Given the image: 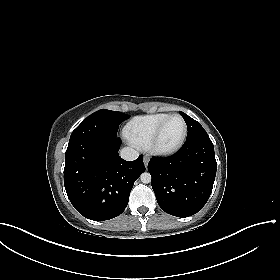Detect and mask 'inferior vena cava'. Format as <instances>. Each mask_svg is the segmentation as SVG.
Wrapping results in <instances>:
<instances>
[{
	"mask_svg": "<svg viewBox=\"0 0 280 280\" xmlns=\"http://www.w3.org/2000/svg\"><path fill=\"white\" fill-rule=\"evenodd\" d=\"M120 156L125 160H135L139 156V152L132 147H125L120 151Z\"/></svg>",
	"mask_w": 280,
	"mask_h": 280,
	"instance_id": "602c4592",
	"label": "inferior vena cava"
}]
</instances>
